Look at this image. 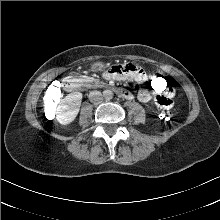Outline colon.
Segmentation results:
<instances>
[{
	"mask_svg": "<svg viewBox=\"0 0 220 220\" xmlns=\"http://www.w3.org/2000/svg\"><path fill=\"white\" fill-rule=\"evenodd\" d=\"M169 85V80L166 75L162 73H157L152 75L148 80V87L154 93H161L167 89ZM59 86L53 85L48 92V99L46 102V106L51 108L54 105V102L59 97ZM156 104L161 108L158 112V119L161 122H168L171 119V108H172V99L167 98L165 96H156L155 97Z\"/></svg>",
	"mask_w": 220,
	"mask_h": 220,
	"instance_id": "obj_1",
	"label": "colon"
}]
</instances>
